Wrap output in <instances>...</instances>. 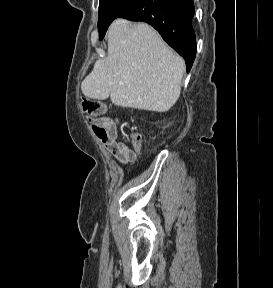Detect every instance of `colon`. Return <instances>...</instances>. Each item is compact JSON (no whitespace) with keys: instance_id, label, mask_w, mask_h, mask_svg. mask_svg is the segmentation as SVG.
Segmentation results:
<instances>
[{"instance_id":"colon-1","label":"colon","mask_w":273,"mask_h":288,"mask_svg":"<svg viewBox=\"0 0 273 288\" xmlns=\"http://www.w3.org/2000/svg\"><path fill=\"white\" fill-rule=\"evenodd\" d=\"M83 110L92 124L93 131L99 137V139L106 138V131L101 127L99 119L107 113L106 105L94 99H84ZM140 137L137 134L131 136V140L134 144L139 143Z\"/></svg>"}]
</instances>
